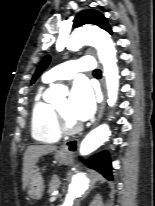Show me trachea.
I'll list each match as a JSON object with an SVG mask.
<instances>
[{"instance_id":"trachea-1","label":"trachea","mask_w":155,"mask_h":206,"mask_svg":"<svg viewBox=\"0 0 155 206\" xmlns=\"http://www.w3.org/2000/svg\"><path fill=\"white\" fill-rule=\"evenodd\" d=\"M93 74H94L95 76H101V71H100L99 69H95L94 72H93Z\"/></svg>"}]
</instances>
